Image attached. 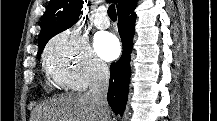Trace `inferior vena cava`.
<instances>
[{
  "mask_svg": "<svg viewBox=\"0 0 217 121\" xmlns=\"http://www.w3.org/2000/svg\"><path fill=\"white\" fill-rule=\"evenodd\" d=\"M109 76V69L106 65L95 64L89 91L86 93L98 105L102 121L110 120V110L107 103Z\"/></svg>",
  "mask_w": 217,
  "mask_h": 121,
  "instance_id": "inferior-vena-cava-1",
  "label": "inferior vena cava"
}]
</instances>
